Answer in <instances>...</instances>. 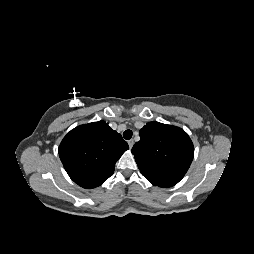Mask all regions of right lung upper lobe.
Wrapping results in <instances>:
<instances>
[{
  "mask_svg": "<svg viewBox=\"0 0 254 254\" xmlns=\"http://www.w3.org/2000/svg\"><path fill=\"white\" fill-rule=\"evenodd\" d=\"M128 148L121 134L105 121H98L71 130L58 152L70 178L79 186L90 189L112 176L115 163Z\"/></svg>",
  "mask_w": 254,
  "mask_h": 254,
  "instance_id": "obj_1",
  "label": "right lung upper lobe"
}]
</instances>
